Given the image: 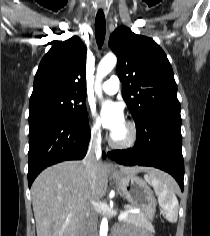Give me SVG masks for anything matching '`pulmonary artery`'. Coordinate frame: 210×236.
Masks as SVG:
<instances>
[{
    "instance_id": "e3ab8cb5",
    "label": "pulmonary artery",
    "mask_w": 210,
    "mask_h": 236,
    "mask_svg": "<svg viewBox=\"0 0 210 236\" xmlns=\"http://www.w3.org/2000/svg\"><path fill=\"white\" fill-rule=\"evenodd\" d=\"M120 87V80L117 76H112L108 81L101 85V90L107 94H114Z\"/></svg>"
}]
</instances>
